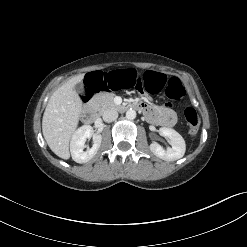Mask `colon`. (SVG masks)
Returning a JSON list of instances; mask_svg holds the SVG:
<instances>
[{"mask_svg":"<svg viewBox=\"0 0 247 247\" xmlns=\"http://www.w3.org/2000/svg\"><path fill=\"white\" fill-rule=\"evenodd\" d=\"M87 91L98 94L104 91L108 94L125 91H136L140 94H156L162 90L171 101H181L185 96V89L177 78L167 79L164 75L155 72H145L137 67L120 66L110 67L105 71H93L87 74L84 80ZM184 117L192 135H195L200 126V118L192 107L184 110Z\"/></svg>","mask_w":247,"mask_h":247,"instance_id":"colon-1","label":"colon"}]
</instances>
